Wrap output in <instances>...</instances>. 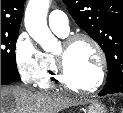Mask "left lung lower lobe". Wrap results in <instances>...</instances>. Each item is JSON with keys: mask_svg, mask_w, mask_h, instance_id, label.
I'll list each match as a JSON object with an SVG mask.
<instances>
[{"mask_svg": "<svg viewBox=\"0 0 123 113\" xmlns=\"http://www.w3.org/2000/svg\"><path fill=\"white\" fill-rule=\"evenodd\" d=\"M112 92H106V91H101L100 93H99V96H104V95H107V94H111ZM116 93H123V92H116Z\"/></svg>", "mask_w": 123, "mask_h": 113, "instance_id": "0a47b994", "label": "left lung lower lobe"}]
</instances>
